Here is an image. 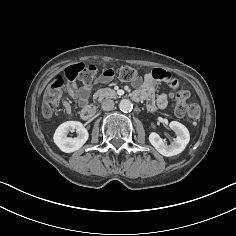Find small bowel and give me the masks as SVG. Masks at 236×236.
Returning a JSON list of instances; mask_svg holds the SVG:
<instances>
[{
    "label": "small bowel",
    "mask_w": 236,
    "mask_h": 236,
    "mask_svg": "<svg viewBox=\"0 0 236 236\" xmlns=\"http://www.w3.org/2000/svg\"><path fill=\"white\" fill-rule=\"evenodd\" d=\"M108 78L101 76L97 81L105 82ZM169 79L166 71L156 68L147 73L142 80L133 82L137 89L133 92V99L136 101L146 100L148 107L152 110L156 108L163 109L167 106L168 98L165 93L154 94V84L163 83ZM169 85H173L170 81ZM92 89V83H86L80 88L69 87L68 93L71 97L77 99L80 106H84L88 102V98ZM63 108L67 114L71 113V105L68 101H63Z\"/></svg>",
    "instance_id": "obj_1"
}]
</instances>
